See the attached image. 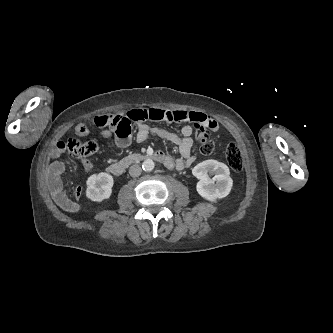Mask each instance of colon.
I'll list each match as a JSON object with an SVG mask.
<instances>
[{"instance_id":"obj_1","label":"colon","mask_w":333,"mask_h":333,"mask_svg":"<svg viewBox=\"0 0 333 333\" xmlns=\"http://www.w3.org/2000/svg\"><path fill=\"white\" fill-rule=\"evenodd\" d=\"M157 120L159 118H156ZM96 126L100 128L108 127L113 129L116 134L125 136L130 132L128 116L126 114H106L99 115L95 118ZM77 136H85L88 129L83 124H78L75 129ZM195 136L200 141V151L204 155H209L214 151V142L210 138L207 127L197 124L195 127ZM96 141L81 142L77 138H70L66 141H59L55 145L54 155L58 156L67 151L76 158H84L94 154L98 150ZM225 158L229 167L234 172H239L242 169L243 158L240 149L235 143H229L225 150Z\"/></svg>"}]
</instances>
